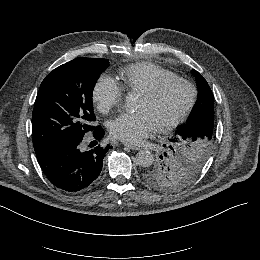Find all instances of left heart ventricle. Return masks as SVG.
I'll return each instance as SVG.
<instances>
[{"label": "left heart ventricle", "mask_w": 260, "mask_h": 260, "mask_svg": "<svg viewBox=\"0 0 260 260\" xmlns=\"http://www.w3.org/2000/svg\"><path fill=\"white\" fill-rule=\"evenodd\" d=\"M159 78L154 74V87ZM151 87V88H152ZM190 90L181 83L170 84L158 97L149 98L141 93L138 96L137 109H145L151 115L156 126L177 116L188 104Z\"/></svg>", "instance_id": "left-heart-ventricle-1"}]
</instances>
